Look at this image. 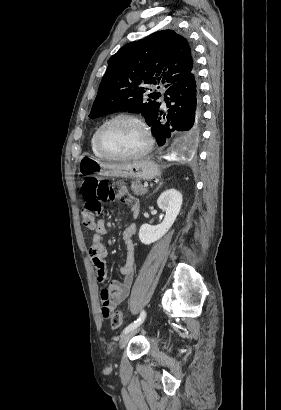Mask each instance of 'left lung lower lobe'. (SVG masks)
I'll use <instances>...</instances> for the list:
<instances>
[{
  "label": "left lung lower lobe",
  "instance_id": "0a47b994",
  "mask_svg": "<svg viewBox=\"0 0 281 410\" xmlns=\"http://www.w3.org/2000/svg\"><path fill=\"white\" fill-rule=\"evenodd\" d=\"M165 103L168 108L166 116L168 122H161L165 118L159 110L151 126L153 136L159 146L166 143L174 130L181 131L182 140L185 143H193L199 137L200 96L196 70L184 79L171 85L165 92Z\"/></svg>",
  "mask_w": 281,
  "mask_h": 410
}]
</instances>
